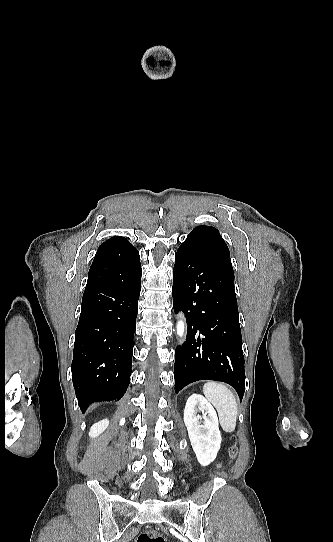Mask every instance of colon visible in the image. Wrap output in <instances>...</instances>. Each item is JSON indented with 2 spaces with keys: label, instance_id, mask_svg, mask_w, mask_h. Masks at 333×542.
<instances>
[{
  "label": "colon",
  "instance_id": "5ec220e1",
  "mask_svg": "<svg viewBox=\"0 0 333 542\" xmlns=\"http://www.w3.org/2000/svg\"><path fill=\"white\" fill-rule=\"evenodd\" d=\"M237 454H238L237 447H231L229 449V455L231 457H235L237 456ZM136 542H165V539L160 533L156 532L155 530L150 529V530L141 532L138 535Z\"/></svg>",
  "mask_w": 333,
  "mask_h": 542
}]
</instances>
